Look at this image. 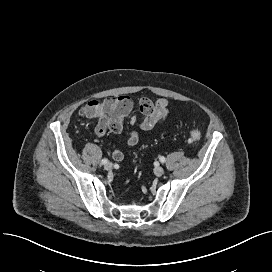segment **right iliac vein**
<instances>
[{
    "mask_svg": "<svg viewBox=\"0 0 272 272\" xmlns=\"http://www.w3.org/2000/svg\"><path fill=\"white\" fill-rule=\"evenodd\" d=\"M112 167H113V165H112V163H110V162H107V163L104 165V169L107 170V171L111 170Z\"/></svg>",
    "mask_w": 272,
    "mask_h": 272,
    "instance_id": "obj_1",
    "label": "right iliac vein"
}]
</instances>
